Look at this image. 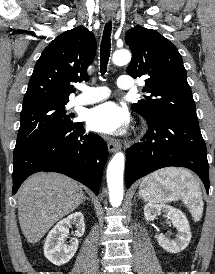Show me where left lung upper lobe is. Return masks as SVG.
Instances as JSON below:
<instances>
[{
  "label": "left lung upper lobe",
  "instance_id": "5c2ea615",
  "mask_svg": "<svg viewBox=\"0 0 215 274\" xmlns=\"http://www.w3.org/2000/svg\"><path fill=\"white\" fill-rule=\"evenodd\" d=\"M125 41L133 54L127 72L134 78L145 75L143 91L153 97L139 100L132 109L147 120L174 116L198 122L186 70L175 45L142 26L130 29Z\"/></svg>",
  "mask_w": 215,
  "mask_h": 274
}]
</instances>
